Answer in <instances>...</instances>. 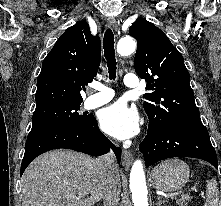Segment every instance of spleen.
Instances as JSON below:
<instances>
[{
  "instance_id": "obj_1",
  "label": "spleen",
  "mask_w": 221,
  "mask_h": 206,
  "mask_svg": "<svg viewBox=\"0 0 221 206\" xmlns=\"http://www.w3.org/2000/svg\"><path fill=\"white\" fill-rule=\"evenodd\" d=\"M207 200L204 206H221L219 203V191L217 189V181L215 179H211L207 183Z\"/></svg>"
}]
</instances>
